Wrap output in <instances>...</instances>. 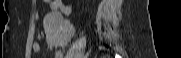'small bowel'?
Wrapping results in <instances>:
<instances>
[{"label":"small bowel","mask_w":181,"mask_h":58,"mask_svg":"<svg viewBox=\"0 0 181 58\" xmlns=\"http://www.w3.org/2000/svg\"><path fill=\"white\" fill-rule=\"evenodd\" d=\"M50 5V7L54 10H61V12H63L64 14H69L71 9H70V6L64 4L61 0H53V1H50L48 0L47 1ZM32 50L36 53H39L41 52V46L38 44V43H34L33 46H32ZM56 58H61V53L60 52H56Z\"/></svg>","instance_id":"c3829d8e"}]
</instances>
